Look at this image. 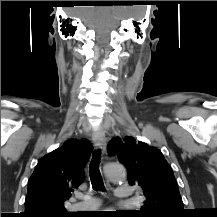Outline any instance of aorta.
Returning a JSON list of instances; mask_svg holds the SVG:
<instances>
[{
    "label": "aorta",
    "instance_id": "762f6f07",
    "mask_svg": "<svg viewBox=\"0 0 217 217\" xmlns=\"http://www.w3.org/2000/svg\"><path fill=\"white\" fill-rule=\"evenodd\" d=\"M104 172L108 180L121 181L125 178V169L117 163H108L104 166Z\"/></svg>",
    "mask_w": 217,
    "mask_h": 217
}]
</instances>
